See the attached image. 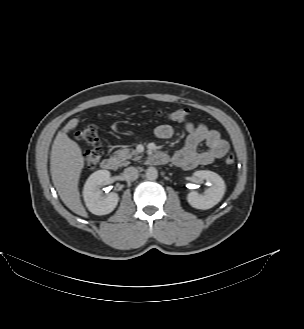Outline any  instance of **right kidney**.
Segmentation results:
<instances>
[{
  "instance_id": "1",
  "label": "right kidney",
  "mask_w": 304,
  "mask_h": 329,
  "mask_svg": "<svg viewBox=\"0 0 304 329\" xmlns=\"http://www.w3.org/2000/svg\"><path fill=\"white\" fill-rule=\"evenodd\" d=\"M110 172L98 170L90 175L83 188V197L88 210L95 215L111 213L117 206L119 196L111 192L103 197L101 187L109 183Z\"/></svg>"
}]
</instances>
